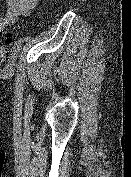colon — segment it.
<instances>
[{
	"instance_id": "colon-1",
	"label": "colon",
	"mask_w": 131,
	"mask_h": 177,
	"mask_svg": "<svg viewBox=\"0 0 131 177\" xmlns=\"http://www.w3.org/2000/svg\"><path fill=\"white\" fill-rule=\"evenodd\" d=\"M12 42V35L8 34L5 37L4 44L0 46V65L3 63L5 60L7 50H8V45Z\"/></svg>"
}]
</instances>
